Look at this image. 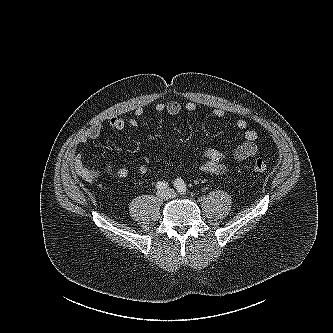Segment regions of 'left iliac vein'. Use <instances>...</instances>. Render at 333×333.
Segmentation results:
<instances>
[{
  "label": "left iliac vein",
  "instance_id": "4c4485c4",
  "mask_svg": "<svg viewBox=\"0 0 333 333\" xmlns=\"http://www.w3.org/2000/svg\"><path fill=\"white\" fill-rule=\"evenodd\" d=\"M167 192H168L170 198L176 197V193L172 189H168Z\"/></svg>",
  "mask_w": 333,
  "mask_h": 333
}]
</instances>
